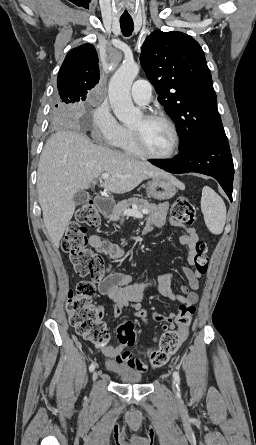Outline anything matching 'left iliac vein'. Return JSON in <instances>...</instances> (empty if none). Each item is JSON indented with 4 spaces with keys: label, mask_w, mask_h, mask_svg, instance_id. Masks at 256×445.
<instances>
[{
    "label": "left iliac vein",
    "mask_w": 256,
    "mask_h": 445,
    "mask_svg": "<svg viewBox=\"0 0 256 445\" xmlns=\"http://www.w3.org/2000/svg\"><path fill=\"white\" fill-rule=\"evenodd\" d=\"M176 389H177L176 381H175V379H174V377H173V390L176 391Z\"/></svg>",
    "instance_id": "4c4485c4"
}]
</instances>
